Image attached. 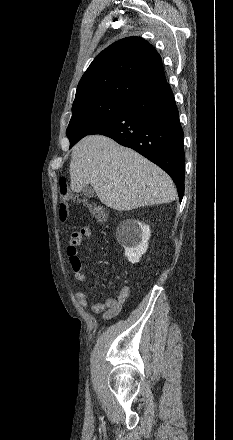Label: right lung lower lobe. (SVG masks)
<instances>
[{"label":"right lung lower lobe","mask_w":233,"mask_h":440,"mask_svg":"<svg viewBox=\"0 0 233 440\" xmlns=\"http://www.w3.org/2000/svg\"><path fill=\"white\" fill-rule=\"evenodd\" d=\"M91 134L108 136L160 166L173 179L182 200L183 130L167 82L131 98L112 119Z\"/></svg>","instance_id":"right-lung-lower-lobe-1"}]
</instances>
